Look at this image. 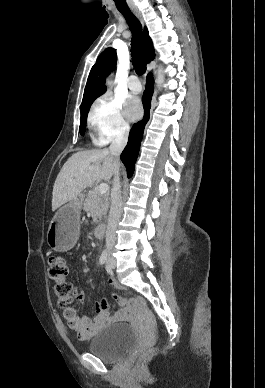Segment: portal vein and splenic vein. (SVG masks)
I'll list each match as a JSON object with an SVG mask.
<instances>
[{
	"label": "portal vein and splenic vein",
	"mask_w": 265,
	"mask_h": 388,
	"mask_svg": "<svg viewBox=\"0 0 265 388\" xmlns=\"http://www.w3.org/2000/svg\"><path fill=\"white\" fill-rule=\"evenodd\" d=\"M89 170H94L93 166H90ZM107 190H108L107 184H100L99 186L100 194H106Z\"/></svg>",
	"instance_id": "1"
}]
</instances>
